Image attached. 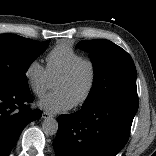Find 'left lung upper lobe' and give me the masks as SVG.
Wrapping results in <instances>:
<instances>
[{"instance_id":"left-lung-upper-lobe-1","label":"left lung upper lobe","mask_w":156,"mask_h":156,"mask_svg":"<svg viewBox=\"0 0 156 156\" xmlns=\"http://www.w3.org/2000/svg\"><path fill=\"white\" fill-rule=\"evenodd\" d=\"M77 46L89 52L94 83L82 107L120 99L138 103L136 68L131 56L111 41L83 40Z\"/></svg>"}]
</instances>
